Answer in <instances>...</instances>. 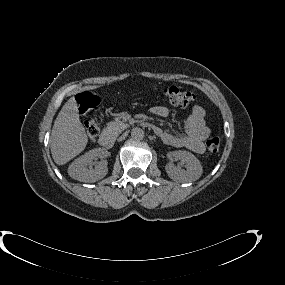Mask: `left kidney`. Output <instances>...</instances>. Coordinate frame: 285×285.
<instances>
[{"mask_svg":"<svg viewBox=\"0 0 285 285\" xmlns=\"http://www.w3.org/2000/svg\"><path fill=\"white\" fill-rule=\"evenodd\" d=\"M170 157L183 161L186 168V170H184L176 167L173 163H168L166 165V172L171 179L182 182H191L199 179L202 175V165L192 153L178 150L170 152Z\"/></svg>","mask_w":285,"mask_h":285,"instance_id":"left-kidney-1","label":"left kidney"}]
</instances>
